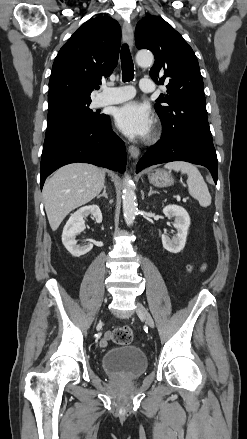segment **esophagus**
<instances>
[{"label":"esophagus","instance_id":"34e87169","mask_svg":"<svg viewBox=\"0 0 247 439\" xmlns=\"http://www.w3.org/2000/svg\"><path fill=\"white\" fill-rule=\"evenodd\" d=\"M122 35L124 41L129 45L130 48H132L134 43V33L133 27L129 22H124L122 27ZM128 151L133 159H137L140 154L139 149L134 145H130Z\"/></svg>","mask_w":247,"mask_h":439}]
</instances>
